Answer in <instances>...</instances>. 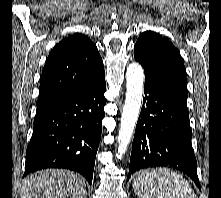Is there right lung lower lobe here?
I'll list each match as a JSON object with an SVG mask.
<instances>
[{"instance_id":"98d812e1","label":"right lung lower lobe","mask_w":221,"mask_h":198,"mask_svg":"<svg viewBox=\"0 0 221 198\" xmlns=\"http://www.w3.org/2000/svg\"><path fill=\"white\" fill-rule=\"evenodd\" d=\"M105 74L85 88L37 111L27 147L25 173L66 168L92 184L105 117Z\"/></svg>"}]
</instances>
